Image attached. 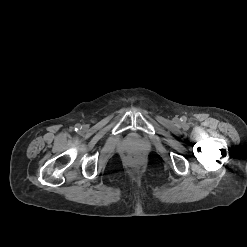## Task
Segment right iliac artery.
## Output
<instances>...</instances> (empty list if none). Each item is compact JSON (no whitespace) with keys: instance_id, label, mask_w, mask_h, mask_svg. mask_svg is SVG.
<instances>
[{"instance_id":"obj_1","label":"right iliac artery","mask_w":247,"mask_h":247,"mask_svg":"<svg viewBox=\"0 0 247 247\" xmlns=\"http://www.w3.org/2000/svg\"><path fill=\"white\" fill-rule=\"evenodd\" d=\"M81 128V125L80 124H76L75 125V130L77 131V130H79Z\"/></svg>"}]
</instances>
